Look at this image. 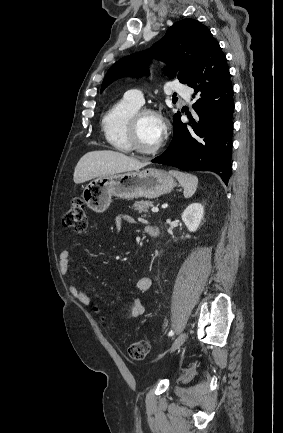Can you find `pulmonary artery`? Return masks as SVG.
Returning <instances> with one entry per match:
<instances>
[{
	"label": "pulmonary artery",
	"instance_id": "e3ab8cb5",
	"mask_svg": "<svg viewBox=\"0 0 283 433\" xmlns=\"http://www.w3.org/2000/svg\"><path fill=\"white\" fill-rule=\"evenodd\" d=\"M174 92L177 93L178 96H182L186 102H190L191 98V90L189 87H184L183 83H174L172 86ZM167 93H171V91H167ZM126 99L130 102L134 103L137 106H142L144 103L143 95L138 90H129L126 92Z\"/></svg>",
	"mask_w": 283,
	"mask_h": 433
}]
</instances>
